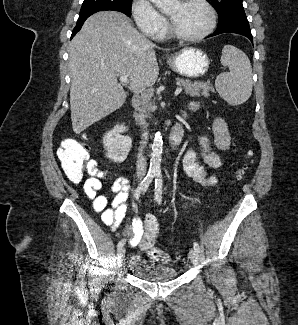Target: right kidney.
Here are the masks:
<instances>
[{
	"mask_svg": "<svg viewBox=\"0 0 298 325\" xmlns=\"http://www.w3.org/2000/svg\"><path fill=\"white\" fill-rule=\"evenodd\" d=\"M128 126L125 124H115L112 130L105 132L102 140L105 154L112 163H124L132 146L131 136H125L121 132H126Z\"/></svg>",
	"mask_w": 298,
	"mask_h": 325,
	"instance_id": "obj_1",
	"label": "right kidney"
}]
</instances>
